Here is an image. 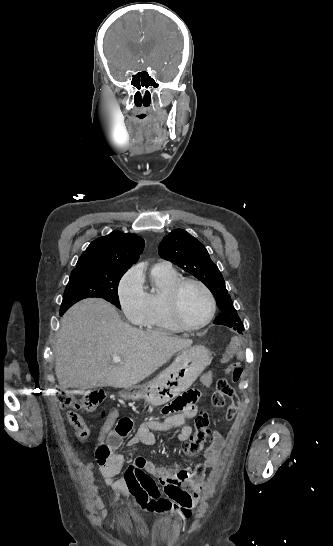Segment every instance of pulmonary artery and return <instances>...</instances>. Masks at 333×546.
Returning <instances> with one entry per match:
<instances>
[{
    "instance_id": "pulmonary-artery-1",
    "label": "pulmonary artery",
    "mask_w": 333,
    "mask_h": 546,
    "mask_svg": "<svg viewBox=\"0 0 333 546\" xmlns=\"http://www.w3.org/2000/svg\"><path fill=\"white\" fill-rule=\"evenodd\" d=\"M155 266L168 267V266H170V264L167 261H160L157 264H155Z\"/></svg>"
}]
</instances>
